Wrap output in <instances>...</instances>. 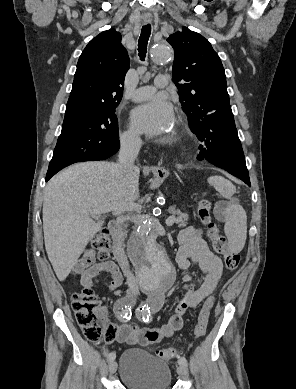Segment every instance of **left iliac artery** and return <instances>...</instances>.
<instances>
[{"label": "left iliac artery", "instance_id": "1", "mask_svg": "<svg viewBox=\"0 0 296 389\" xmlns=\"http://www.w3.org/2000/svg\"><path fill=\"white\" fill-rule=\"evenodd\" d=\"M154 312V308L151 307L150 305L148 304H141L140 307L137 309L136 311V315L139 319H142L144 322H148L149 321V318L151 316V314ZM178 363L180 365H185L187 366L188 363H187V359L185 357H181L179 360H178Z\"/></svg>", "mask_w": 296, "mask_h": 389}]
</instances>
